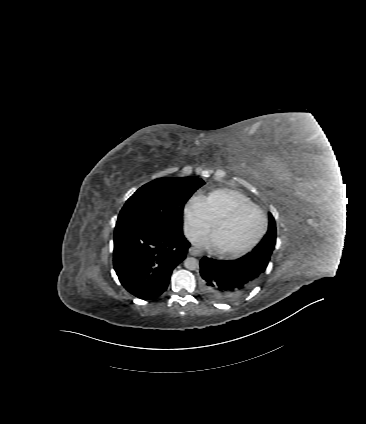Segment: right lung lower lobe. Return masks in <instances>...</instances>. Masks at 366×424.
<instances>
[{
  "label": "right lung lower lobe",
  "mask_w": 366,
  "mask_h": 424,
  "mask_svg": "<svg viewBox=\"0 0 366 424\" xmlns=\"http://www.w3.org/2000/svg\"><path fill=\"white\" fill-rule=\"evenodd\" d=\"M190 243L182 232L161 227L116 226L113 265L121 284L141 299H152L168 286L172 270L186 257Z\"/></svg>",
  "instance_id": "98d812e1"
}]
</instances>
